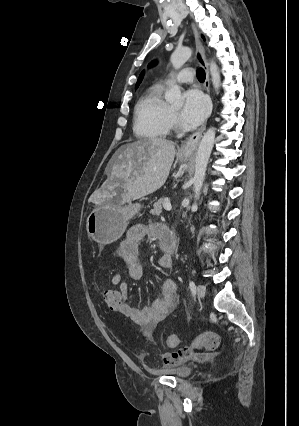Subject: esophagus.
Returning <instances> with one entry per match:
<instances>
[{"mask_svg":"<svg viewBox=\"0 0 299 426\" xmlns=\"http://www.w3.org/2000/svg\"><path fill=\"white\" fill-rule=\"evenodd\" d=\"M193 28V32H194V36H195V43H196V59L198 61V63L204 68L205 70V89L207 91V93L210 95V77H209V69H208V64L205 58V49L204 46L202 44L199 32L197 30V28L195 27V25H192ZM211 110H212V103H211ZM206 128V123H204L200 129H198L195 133H193L190 137H188L182 144L180 152L182 155H192L195 150L197 149L199 140L202 136V133L204 132Z\"/></svg>","mask_w":299,"mask_h":426,"instance_id":"34e87169","label":"esophagus"}]
</instances>
